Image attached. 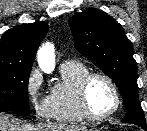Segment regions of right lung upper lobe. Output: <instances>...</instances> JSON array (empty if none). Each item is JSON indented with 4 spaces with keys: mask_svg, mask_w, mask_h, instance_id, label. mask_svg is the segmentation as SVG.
<instances>
[{
    "mask_svg": "<svg viewBox=\"0 0 147 131\" xmlns=\"http://www.w3.org/2000/svg\"><path fill=\"white\" fill-rule=\"evenodd\" d=\"M48 32L43 21L8 30L0 41V68H31L39 44Z\"/></svg>",
    "mask_w": 147,
    "mask_h": 131,
    "instance_id": "1",
    "label": "right lung upper lobe"
}]
</instances>
